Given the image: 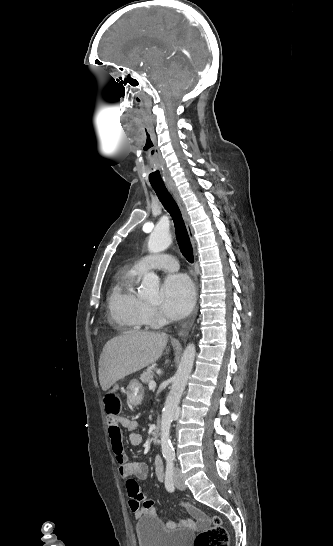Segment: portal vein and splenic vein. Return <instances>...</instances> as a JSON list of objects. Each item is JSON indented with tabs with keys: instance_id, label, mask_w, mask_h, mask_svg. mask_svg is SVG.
I'll use <instances>...</instances> for the list:
<instances>
[{
	"instance_id": "18ae733b",
	"label": "portal vein and splenic vein",
	"mask_w": 333,
	"mask_h": 546,
	"mask_svg": "<svg viewBox=\"0 0 333 546\" xmlns=\"http://www.w3.org/2000/svg\"><path fill=\"white\" fill-rule=\"evenodd\" d=\"M148 386H149L150 389H153V388L156 387V382L152 380V381L149 382Z\"/></svg>"
}]
</instances>
